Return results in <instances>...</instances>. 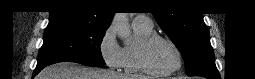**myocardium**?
Here are the masks:
<instances>
[{"instance_id":"f54148a6","label":"myocardium","mask_w":255,"mask_h":79,"mask_svg":"<svg viewBox=\"0 0 255 79\" xmlns=\"http://www.w3.org/2000/svg\"><path fill=\"white\" fill-rule=\"evenodd\" d=\"M158 39L164 40L167 43H169L176 54V64L171 69L166 71H156L148 63V50L150 46ZM137 58L141 70L148 75L154 76L171 75L178 71L182 66V52L179 46L172 39L161 34H152L147 39H145L139 46Z\"/></svg>"}]
</instances>
